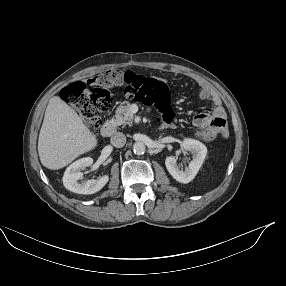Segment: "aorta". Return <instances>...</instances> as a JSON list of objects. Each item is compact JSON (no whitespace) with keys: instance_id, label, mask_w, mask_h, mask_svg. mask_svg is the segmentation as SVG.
<instances>
[{"instance_id":"obj_1","label":"aorta","mask_w":286,"mask_h":286,"mask_svg":"<svg viewBox=\"0 0 286 286\" xmlns=\"http://www.w3.org/2000/svg\"><path fill=\"white\" fill-rule=\"evenodd\" d=\"M145 144L143 142H135L134 145H133V151L135 154H143L145 152Z\"/></svg>"}]
</instances>
